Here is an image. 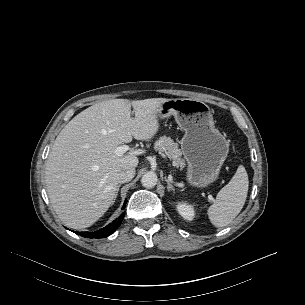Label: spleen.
<instances>
[{
	"label": "spleen",
	"instance_id": "spleen-1",
	"mask_svg": "<svg viewBox=\"0 0 305 305\" xmlns=\"http://www.w3.org/2000/svg\"><path fill=\"white\" fill-rule=\"evenodd\" d=\"M249 180L245 167L240 165L229 181L217 194L214 203L208 208V216L216 227L230 224L242 210L247 194Z\"/></svg>",
	"mask_w": 305,
	"mask_h": 305
}]
</instances>
